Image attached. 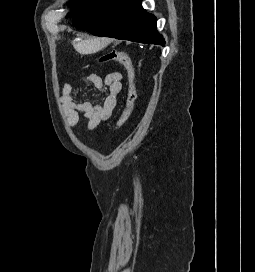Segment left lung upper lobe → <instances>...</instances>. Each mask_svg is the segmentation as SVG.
I'll return each instance as SVG.
<instances>
[{
  "instance_id": "1",
  "label": "left lung upper lobe",
  "mask_w": 255,
  "mask_h": 272,
  "mask_svg": "<svg viewBox=\"0 0 255 272\" xmlns=\"http://www.w3.org/2000/svg\"><path fill=\"white\" fill-rule=\"evenodd\" d=\"M72 13L67 14L68 17H72L75 13L85 7L91 0H72Z\"/></svg>"
}]
</instances>
